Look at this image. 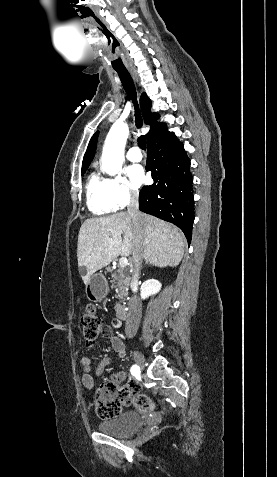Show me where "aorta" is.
Here are the masks:
<instances>
[{"label":"aorta","instance_id":"1","mask_svg":"<svg viewBox=\"0 0 277 477\" xmlns=\"http://www.w3.org/2000/svg\"><path fill=\"white\" fill-rule=\"evenodd\" d=\"M128 135V126L116 122L106 137L102 152V169L111 176L118 174L122 168Z\"/></svg>","mask_w":277,"mask_h":477}]
</instances>
